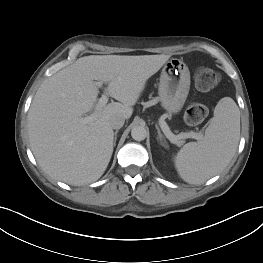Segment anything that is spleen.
I'll list each match as a JSON object with an SVG mask.
<instances>
[{"label":"spleen","mask_w":263,"mask_h":263,"mask_svg":"<svg viewBox=\"0 0 263 263\" xmlns=\"http://www.w3.org/2000/svg\"><path fill=\"white\" fill-rule=\"evenodd\" d=\"M240 137L239 108L230 97L222 98L203 140L185 144L175 157L180 177L200 184L223 170L233 158Z\"/></svg>","instance_id":"spleen-1"}]
</instances>
